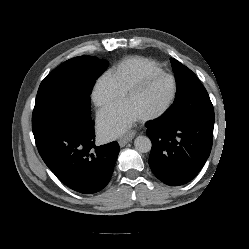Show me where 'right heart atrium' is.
<instances>
[{
	"mask_svg": "<svg viewBox=\"0 0 249 249\" xmlns=\"http://www.w3.org/2000/svg\"><path fill=\"white\" fill-rule=\"evenodd\" d=\"M124 92L118 87L110 73L102 75L96 82L92 98L96 106L105 108L120 100Z\"/></svg>",
	"mask_w": 249,
	"mask_h": 249,
	"instance_id": "d8ad5b80",
	"label": "right heart atrium"
}]
</instances>
